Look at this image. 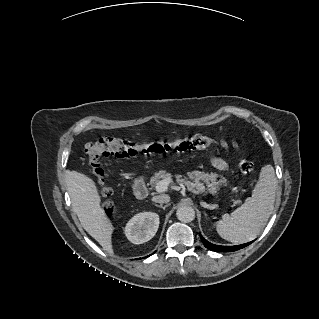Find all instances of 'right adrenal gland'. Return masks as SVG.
Segmentation results:
<instances>
[{"instance_id":"obj_1","label":"right adrenal gland","mask_w":319,"mask_h":319,"mask_svg":"<svg viewBox=\"0 0 319 319\" xmlns=\"http://www.w3.org/2000/svg\"><path fill=\"white\" fill-rule=\"evenodd\" d=\"M156 207H159V208H162V209H165L169 204H166V205H162V204H160V205H158V204H154Z\"/></svg>"}]
</instances>
